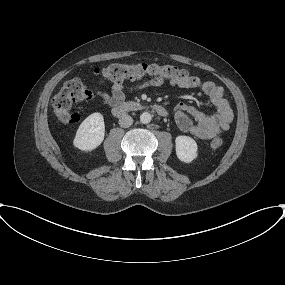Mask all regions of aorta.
I'll return each mask as SVG.
<instances>
[{
    "mask_svg": "<svg viewBox=\"0 0 285 285\" xmlns=\"http://www.w3.org/2000/svg\"><path fill=\"white\" fill-rule=\"evenodd\" d=\"M152 119V116L150 113L148 112H143L141 115H140V122L143 123V124H148L150 123Z\"/></svg>",
    "mask_w": 285,
    "mask_h": 285,
    "instance_id": "obj_1",
    "label": "aorta"
}]
</instances>
